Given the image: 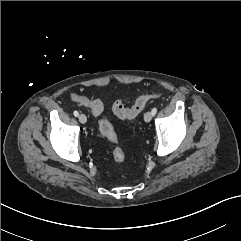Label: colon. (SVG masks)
Returning <instances> with one entry per match:
<instances>
[{
  "label": "colon",
  "mask_w": 241,
  "mask_h": 241,
  "mask_svg": "<svg viewBox=\"0 0 241 241\" xmlns=\"http://www.w3.org/2000/svg\"><path fill=\"white\" fill-rule=\"evenodd\" d=\"M158 96V92L143 95L139 97L130 107L125 106L122 101H116L114 102L112 109L117 117L121 119H129L138 115L151 100L157 98ZM99 127L102 135L110 142H118V137L108 118L102 117L99 121ZM113 159L116 163H122L125 160V153L120 147L114 148Z\"/></svg>",
  "instance_id": "1"
}]
</instances>
